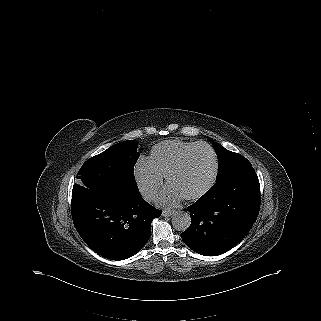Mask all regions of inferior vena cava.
I'll return each instance as SVG.
<instances>
[{"mask_svg":"<svg viewBox=\"0 0 321 321\" xmlns=\"http://www.w3.org/2000/svg\"><path fill=\"white\" fill-rule=\"evenodd\" d=\"M140 193L142 197L148 202L155 200L157 195V191L153 188H144L140 191Z\"/></svg>","mask_w":321,"mask_h":321,"instance_id":"1","label":"inferior vena cava"}]
</instances>
